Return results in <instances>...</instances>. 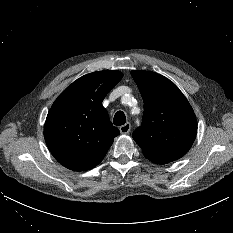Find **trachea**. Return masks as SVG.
Listing matches in <instances>:
<instances>
[{"label":"trachea","instance_id":"trachea-1","mask_svg":"<svg viewBox=\"0 0 233 233\" xmlns=\"http://www.w3.org/2000/svg\"><path fill=\"white\" fill-rule=\"evenodd\" d=\"M126 122V116L122 111H118L116 112L114 119H113V123L116 126H120V125H124Z\"/></svg>","mask_w":233,"mask_h":233}]
</instances>
